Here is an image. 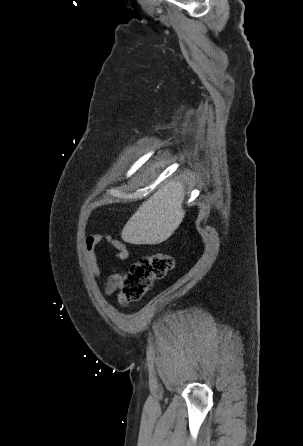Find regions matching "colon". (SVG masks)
I'll return each instance as SVG.
<instances>
[{
	"mask_svg": "<svg viewBox=\"0 0 303 446\" xmlns=\"http://www.w3.org/2000/svg\"><path fill=\"white\" fill-rule=\"evenodd\" d=\"M173 266V258L164 253L143 256L132 263L124 278L122 292L125 301L140 300L151 284L162 279Z\"/></svg>",
	"mask_w": 303,
	"mask_h": 446,
	"instance_id": "obj_1",
	"label": "colon"
}]
</instances>
